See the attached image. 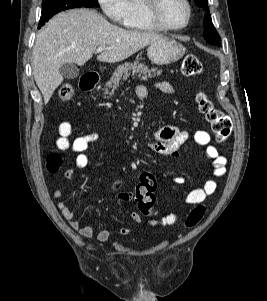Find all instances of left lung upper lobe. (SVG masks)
Here are the masks:
<instances>
[{
	"instance_id": "obj_1",
	"label": "left lung upper lobe",
	"mask_w": 267,
	"mask_h": 301,
	"mask_svg": "<svg viewBox=\"0 0 267 301\" xmlns=\"http://www.w3.org/2000/svg\"><path fill=\"white\" fill-rule=\"evenodd\" d=\"M207 2L208 0H196L195 4L198 7L203 8L206 11V14L204 16V38L207 40V42L220 46V36L218 34V32L216 31L213 23H212V19H211V15L209 12V7L207 6Z\"/></svg>"
}]
</instances>
